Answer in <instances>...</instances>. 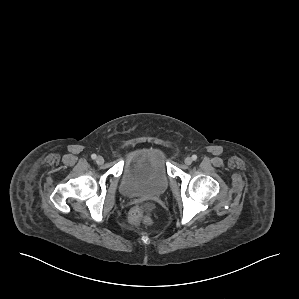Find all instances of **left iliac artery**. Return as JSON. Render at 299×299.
<instances>
[{
    "label": "left iliac artery",
    "instance_id": "left-iliac-artery-1",
    "mask_svg": "<svg viewBox=\"0 0 299 299\" xmlns=\"http://www.w3.org/2000/svg\"><path fill=\"white\" fill-rule=\"evenodd\" d=\"M192 159H193V160H196V159H197V156H196V155H192Z\"/></svg>",
    "mask_w": 299,
    "mask_h": 299
}]
</instances>
